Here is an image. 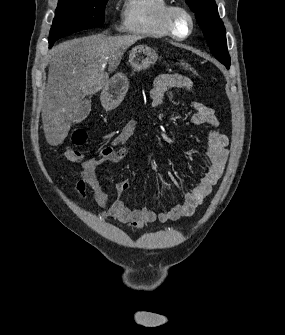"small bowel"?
I'll return each instance as SVG.
<instances>
[{
    "instance_id": "1",
    "label": "small bowel",
    "mask_w": 285,
    "mask_h": 335,
    "mask_svg": "<svg viewBox=\"0 0 285 335\" xmlns=\"http://www.w3.org/2000/svg\"><path fill=\"white\" fill-rule=\"evenodd\" d=\"M192 89L190 79L182 74H165L158 76L150 90V99L154 108L158 107L165 96L172 91L185 92ZM193 112L190 115V123L196 126L206 125L211 127L207 137L208 167L200 177L198 184L184 193V202L175 204L167 210L153 211L146 207L131 209L119 198L109 203V197L103 189L98 178L97 169L102 162H119L126 154L124 145L133 136L138 128V122L131 120L127 122L114 137L109 146L104 147L99 155L90 158L83 163L81 178L77 182V190L85 196L86 190L90 189L97 202L103 207L99 216L103 219H115L122 223H129L132 228L140 229L147 223L175 221L182 217L191 216L196 208L211 194L214 186L224 173L228 158V138L219 128V121L215 112L209 106L195 100L190 101ZM127 181L116 184L118 196L128 191Z\"/></svg>"
}]
</instances>
